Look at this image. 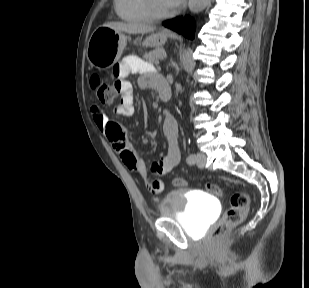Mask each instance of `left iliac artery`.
<instances>
[{
  "label": "left iliac artery",
  "instance_id": "1",
  "mask_svg": "<svg viewBox=\"0 0 309 288\" xmlns=\"http://www.w3.org/2000/svg\"><path fill=\"white\" fill-rule=\"evenodd\" d=\"M186 161H187V163H188L189 165L194 164L195 161H196V156H195V154H190V155H188Z\"/></svg>",
  "mask_w": 309,
  "mask_h": 288
}]
</instances>
